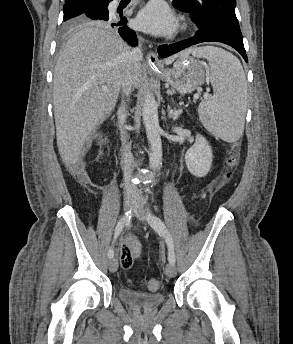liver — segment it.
Here are the masks:
<instances>
[{"instance_id":"1","label":"liver","mask_w":293,"mask_h":344,"mask_svg":"<svg viewBox=\"0 0 293 344\" xmlns=\"http://www.w3.org/2000/svg\"><path fill=\"white\" fill-rule=\"evenodd\" d=\"M130 52L121 38L98 26L83 27L66 42L53 79L57 146L66 166L80 160L93 129L114 110L131 65ZM179 55L166 59V64ZM144 73L140 66L134 87L140 86Z\"/></svg>"}]
</instances>
